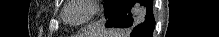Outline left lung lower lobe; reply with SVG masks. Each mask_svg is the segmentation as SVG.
<instances>
[{"label": "left lung lower lobe", "mask_w": 219, "mask_h": 37, "mask_svg": "<svg viewBox=\"0 0 219 37\" xmlns=\"http://www.w3.org/2000/svg\"><path fill=\"white\" fill-rule=\"evenodd\" d=\"M106 27H129L131 37H152L155 28L152 0H119Z\"/></svg>", "instance_id": "1"}]
</instances>
